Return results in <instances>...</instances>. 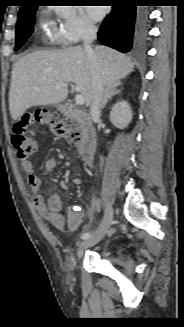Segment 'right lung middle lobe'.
<instances>
[{
    "label": "right lung middle lobe",
    "mask_w": 184,
    "mask_h": 327,
    "mask_svg": "<svg viewBox=\"0 0 184 327\" xmlns=\"http://www.w3.org/2000/svg\"><path fill=\"white\" fill-rule=\"evenodd\" d=\"M37 6L20 11L16 25L15 51L21 48L34 32L35 12Z\"/></svg>",
    "instance_id": "dd1d6c3e"
}]
</instances>
